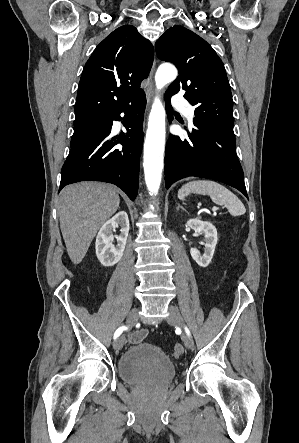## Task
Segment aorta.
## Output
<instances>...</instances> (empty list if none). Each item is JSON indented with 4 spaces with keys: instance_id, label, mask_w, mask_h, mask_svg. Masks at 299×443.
<instances>
[{
    "instance_id": "1",
    "label": "aorta",
    "mask_w": 299,
    "mask_h": 443,
    "mask_svg": "<svg viewBox=\"0 0 299 443\" xmlns=\"http://www.w3.org/2000/svg\"><path fill=\"white\" fill-rule=\"evenodd\" d=\"M176 77L177 70L174 66L161 65L155 74L157 89L163 88ZM165 115V109L156 97L149 115L143 162L145 182L151 195H156L159 190L164 167Z\"/></svg>"
}]
</instances>
